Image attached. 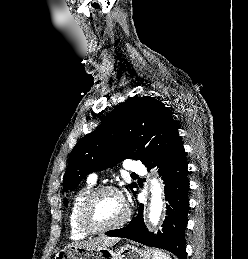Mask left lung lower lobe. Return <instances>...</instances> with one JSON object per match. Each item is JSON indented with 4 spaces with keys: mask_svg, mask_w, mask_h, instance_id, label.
I'll use <instances>...</instances> for the list:
<instances>
[{
    "mask_svg": "<svg viewBox=\"0 0 248 259\" xmlns=\"http://www.w3.org/2000/svg\"><path fill=\"white\" fill-rule=\"evenodd\" d=\"M187 165L183 143L179 140L160 154L152 165L147 166L148 169L158 166V172L165 184L168 203L162 231H158L157 235L147 231L143 221V204H140L136 216L127 227L108 232L106 235L128 238L146 246L162 248L174 253L179 259H187L184 234L189 209Z\"/></svg>",
    "mask_w": 248,
    "mask_h": 259,
    "instance_id": "1",
    "label": "left lung lower lobe"
}]
</instances>
